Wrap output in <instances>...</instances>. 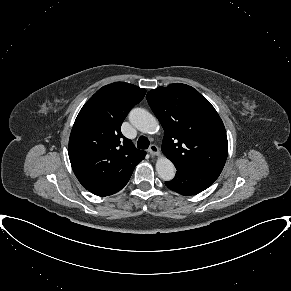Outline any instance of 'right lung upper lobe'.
I'll list each match as a JSON object with an SVG mask.
<instances>
[{
    "mask_svg": "<svg viewBox=\"0 0 291 291\" xmlns=\"http://www.w3.org/2000/svg\"><path fill=\"white\" fill-rule=\"evenodd\" d=\"M146 90L115 82L100 88L82 107L69 139L72 169L82 186L98 196L121 190L145 151L125 138L121 125Z\"/></svg>",
    "mask_w": 291,
    "mask_h": 291,
    "instance_id": "1",
    "label": "right lung upper lobe"
}]
</instances>
